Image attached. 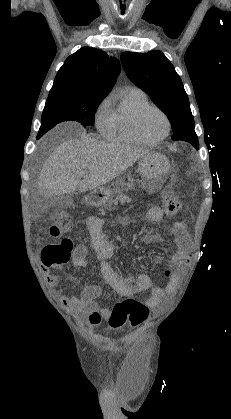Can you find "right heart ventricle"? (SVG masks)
I'll return each instance as SVG.
<instances>
[{"label":"right heart ventricle","mask_w":231,"mask_h":419,"mask_svg":"<svg viewBox=\"0 0 231 419\" xmlns=\"http://www.w3.org/2000/svg\"><path fill=\"white\" fill-rule=\"evenodd\" d=\"M147 104L149 101L143 91L136 88L127 90L121 104L112 111L113 125L109 140L118 144H141L134 134L132 120L135 113Z\"/></svg>","instance_id":"right-heart-ventricle-1"}]
</instances>
